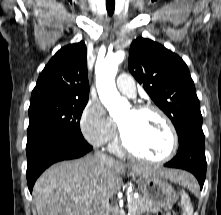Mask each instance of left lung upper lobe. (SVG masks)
<instances>
[{
  "label": "left lung upper lobe",
  "mask_w": 221,
  "mask_h": 215,
  "mask_svg": "<svg viewBox=\"0 0 221 215\" xmlns=\"http://www.w3.org/2000/svg\"><path fill=\"white\" fill-rule=\"evenodd\" d=\"M129 70L155 104L174 124L179 142L190 133H203L200 103L186 63L150 39L130 46Z\"/></svg>",
  "instance_id": "obj_1"
}]
</instances>
